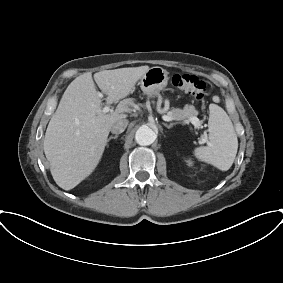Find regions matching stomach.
I'll list each match as a JSON object with an SVG mask.
<instances>
[{
    "instance_id": "obj_1",
    "label": "stomach",
    "mask_w": 283,
    "mask_h": 283,
    "mask_svg": "<svg viewBox=\"0 0 283 283\" xmlns=\"http://www.w3.org/2000/svg\"><path fill=\"white\" fill-rule=\"evenodd\" d=\"M168 72L162 67L150 68L141 77L139 85L141 90L148 96H157L168 84Z\"/></svg>"
}]
</instances>
